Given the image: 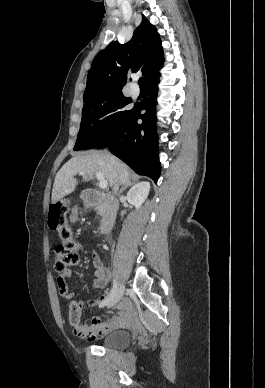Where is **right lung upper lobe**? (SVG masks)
Here are the masks:
<instances>
[{
	"label": "right lung upper lobe",
	"mask_w": 265,
	"mask_h": 388,
	"mask_svg": "<svg viewBox=\"0 0 265 388\" xmlns=\"http://www.w3.org/2000/svg\"><path fill=\"white\" fill-rule=\"evenodd\" d=\"M164 62L161 39L156 28L143 16L132 39L111 42L94 59L87 77L84 98L104 90H120L129 72L142 71L147 83L157 77Z\"/></svg>",
	"instance_id": "cb5924a9"
}]
</instances>
